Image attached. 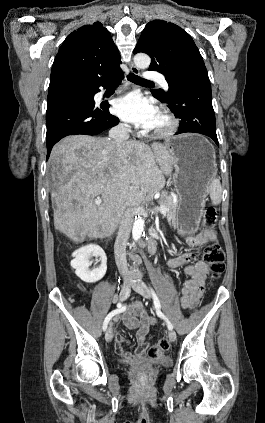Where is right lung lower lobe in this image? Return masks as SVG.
Returning <instances> with one entry per match:
<instances>
[{
	"instance_id": "obj_1",
	"label": "right lung lower lobe",
	"mask_w": 265,
	"mask_h": 423,
	"mask_svg": "<svg viewBox=\"0 0 265 423\" xmlns=\"http://www.w3.org/2000/svg\"><path fill=\"white\" fill-rule=\"evenodd\" d=\"M122 79V72L105 82L70 86L48 92L46 111L47 159L54 144L68 135H98L117 125L118 118L109 113V104H95L99 87Z\"/></svg>"
}]
</instances>
